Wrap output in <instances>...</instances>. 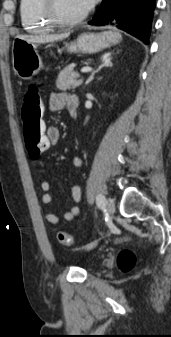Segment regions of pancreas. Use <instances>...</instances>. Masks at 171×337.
Listing matches in <instances>:
<instances>
[{
	"mask_svg": "<svg viewBox=\"0 0 171 337\" xmlns=\"http://www.w3.org/2000/svg\"><path fill=\"white\" fill-rule=\"evenodd\" d=\"M74 65L66 66L60 71L56 80V87L60 90L75 89L82 84V79L79 78V74L74 71Z\"/></svg>",
	"mask_w": 171,
	"mask_h": 337,
	"instance_id": "cf45deb5",
	"label": "pancreas"
}]
</instances>
